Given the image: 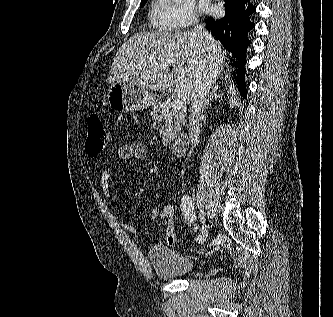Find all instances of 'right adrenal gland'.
Segmentation results:
<instances>
[{
    "label": "right adrenal gland",
    "mask_w": 333,
    "mask_h": 317,
    "mask_svg": "<svg viewBox=\"0 0 333 317\" xmlns=\"http://www.w3.org/2000/svg\"><path fill=\"white\" fill-rule=\"evenodd\" d=\"M218 85H215L212 89H211V92L207 98V100L205 101L204 105H203V108L204 109H207L209 103L213 100V99H217L219 97H221L222 95L220 94H217V90H218Z\"/></svg>",
    "instance_id": "right-adrenal-gland-1"
}]
</instances>
